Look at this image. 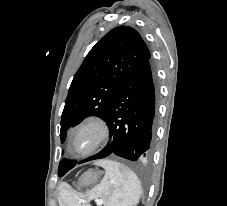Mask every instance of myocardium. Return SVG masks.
Masks as SVG:
<instances>
[{"label":"myocardium","mask_w":227,"mask_h":206,"mask_svg":"<svg viewBox=\"0 0 227 206\" xmlns=\"http://www.w3.org/2000/svg\"><path fill=\"white\" fill-rule=\"evenodd\" d=\"M92 133L91 144L83 150L74 146L75 138L82 132ZM110 127L106 119L99 115H90L82 119L70 132L68 147L72 153L78 156H88L98 151L109 139Z\"/></svg>","instance_id":"f54148a6"}]
</instances>
